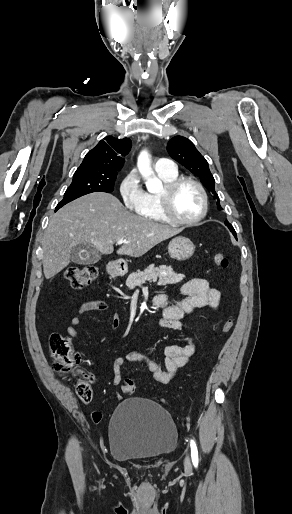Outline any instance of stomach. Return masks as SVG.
<instances>
[{
  "label": "stomach",
  "instance_id": "0dacf381",
  "mask_svg": "<svg viewBox=\"0 0 292 514\" xmlns=\"http://www.w3.org/2000/svg\"><path fill=\"white\" fill-rule=\"evenodd\" d=\"M194 252L195 246L189 238L178 236V238H173V240L169 242L168 254L170 258H174V260H179V262L188 260V258L193 256ZM106 272L111 278H116V276H119L121 268L116 262H109L106 266Z\"/></svg>",
  "mask_w": 292,
  "mask_h": 514
}]
</instances>
